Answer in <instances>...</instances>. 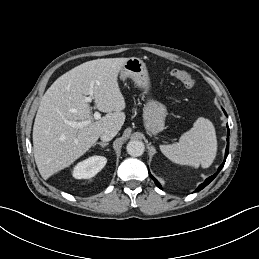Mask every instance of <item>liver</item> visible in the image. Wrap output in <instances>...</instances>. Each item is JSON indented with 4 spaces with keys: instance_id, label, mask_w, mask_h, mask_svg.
I'll return each mask as SVG.
<instances>
[{
    "instance_id": "obj_1",
    "label": "liver",
    "mask_w": 259,
    "mask_h": 259,
    "mask_svg": "<svg viewBox=\"0 0 259 259\" xmlns=\"http://www.w3.org/2000/svg\"><path fill=\"white\" fill-rule=\"evenodd\" d=\"M128 58L85 62L60 76L40 101L33 126V153L44 179L70 166L84 155L105 130L117 132L125 121V99L118 74ZM93 93L95 107L107 113L97 121L85 96ZM66 121H89L74 128Z\"/></svg>"
}]
</instances>
